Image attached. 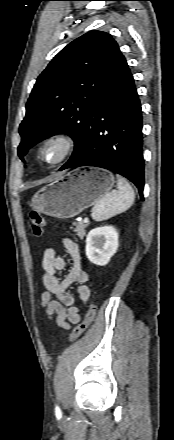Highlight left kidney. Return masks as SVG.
Masks as SVG:
<instances>
[{
	"label": "left kidney",
	"instance_id": "left-kidney-1",
	"mask_svg": "<svg viewBox=\"0 0 174 440\" xmlns=\"http://www.w3.org/2000/svg\"><path fill=\"white\" fill-rule=\"evenodd\" d=\"M118 232L113 226L92 229L86 238V256L93 264L104 266L116 253Z\"/></svg>",
	"mask_w": 174,
	"mask_h": 440
}]
</instances>
